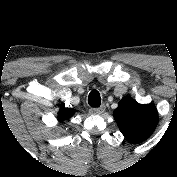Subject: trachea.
<instances>
[{
  "label": "trachea",
  "instance_id": "1",
  "mask_svg": "<svg viewBox=\"0 0 177 177\" xmlns=\"http://www.w3.org/2000/svg\"><path fill=\"white\" fill-rule=\"evenodd\" d=\"M88 104L91 107H93V108H97V107L100 106V104H101V97H100V93L97 90H92L89 93Z\"/></svg>",
  "mask_w": 177,
  "mask_h": 177
}]
</instances>
